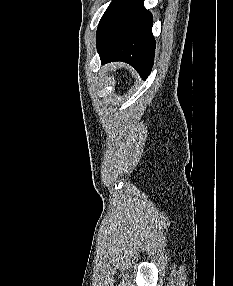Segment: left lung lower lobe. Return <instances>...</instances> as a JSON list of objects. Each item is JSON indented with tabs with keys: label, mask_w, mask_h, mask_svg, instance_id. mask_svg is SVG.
I'll return each instance as SVG.
<instances>
[{
	"label": "left lung lower lobe",
	"mask_w": 233,
	"mask_h": 286,
	"mask_svg": "<svg viewBox=\"0 0 233 286\" xmlns=\"http://www.w3.org/2000/svg\"><path fill=\"white\" fill-rule=\"evenodd\" d=\"M152 24V15L144 8L143 0H112L97 28L102 64L127 62L146 79L155 53Z\"/></svg>",
	"instance_id": "obj_1"
}]
</instances>
